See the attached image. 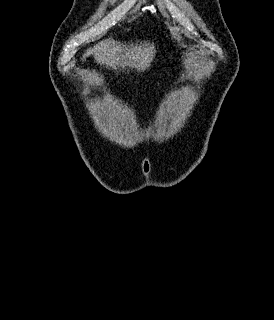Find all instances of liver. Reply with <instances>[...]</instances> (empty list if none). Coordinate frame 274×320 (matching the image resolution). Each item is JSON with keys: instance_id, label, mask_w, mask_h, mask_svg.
<instances>
[{"instance_id": "liver-1", "label": "liver", "mask_w": 274, "mask_h": 320, "mask_svg": "<svg viewBox=\"0 0 274 320\" xmlns=\"http://www.w3.org/2000/svg\"><path fill=\"white\" fill-rule=\"evenodd\" d=\"M156 50L152 44H130V46H123L121 42H115L113 38L109 40H102L95 44L93 48L85 50L81 60H86L89 56L95 58L96 64H103L107 68H113V70H119L123 68H137V72H145L152 64Z\"/></svg>"}]
</instances>
